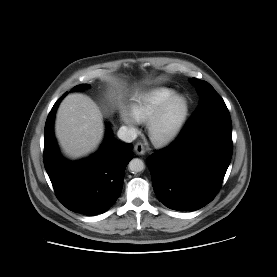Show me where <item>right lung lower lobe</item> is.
<instances>
[{
  "label": "right lung lower lobe",
  "mask_w": 277,
  "mask_h": 277,
  "mask_svg": "<svg viewBox=\"0 0 277 277\" xmlns=\"http://www.w3.org/2000/svg\"><path fill=\"white\" fill-rule=\"evenodd\" d=\"M62 95L51 109L44 131V166L59 201L84 215L107 211L120 196L124 172L133 158L132 145L115 140L107 131L101 148L90 157L69 161L59 152L53 124Z\"/></svg>",
  "instance_id": "98d812e1"
}]
</instances>
